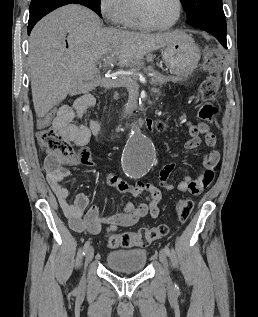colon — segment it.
I'll list each match as a JSON object with an SVG mask.
<instances>
[{"label": "colon", "mask_w": 258, "mask_h": 317, "mask_svg": "<svg viewBox=\"0 0 258 317\" xmlns=\"http://www.w3.org/2000/svg\"><path fill=\"white\" fill-rule=\"evenodd\" d=\"M217 86V79L214 75H210L200 86L199 99L203 102L199 105L197 116L207 122H212L218 115V108L212 105L209 100L213 97ZM52 116L49 113L42 118L48 121ZM165 122L158 121L155 128L158 131L165 129ZM41 150L49 155L60 158L66 164L75 165L81 163L86 155L84 149L75 148L68 140H66L59 132L53 127L45 126L42 128L37 136ZM194 204L190 199H182L177 203L176 215L179 221H186L192 210ZM169 232V227L161 224L157 227H143L135 232H123L119 234H107L106 241L110 248H130V247H145L152 242L165 237Z\"/></svg>", "instance_id": "1"}]
</instances>
